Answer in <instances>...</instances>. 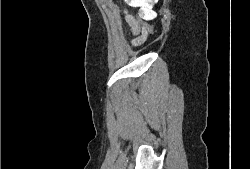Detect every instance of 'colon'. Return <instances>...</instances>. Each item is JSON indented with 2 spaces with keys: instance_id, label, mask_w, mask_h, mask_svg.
Returning a JSON list of instances; mask_svg holds the SVG:
<instances>
[{
  "instance_id": "obj_1",
  "label": "colon",
  "mask_w": 250,
  "mask_h": 169,
  "mask_svg": "<svg viewBox=\"0 0 250 169\" xmlns=\"http://www.w3.org/2000/svg\"><path fill=\"white\" fill-rule=\"evenodd\" d=\"M142 25L145 26V29L143 30V35L141 37V39H143L147 34L152 32V23H149V21L147 20H142Z\"/></svg>"
}]
</instances>
